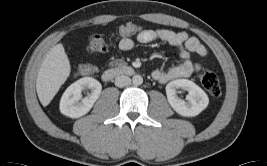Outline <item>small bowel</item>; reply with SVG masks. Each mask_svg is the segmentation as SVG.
<instances>
[{
	"label": "small bowel",
	"mask_w": 267,
	"mask_h": 166,
	"mask_svg": "<svg viewBox=\"0 0 267 166\" xmlns=\"http://www.w3.org/2000/svg\"><path fill=\"white\" fill-rule=\"evenodd\" d=\"M132 36L128 35L126 38L119 39L118 46L121 51L128 52L133 49L135 42ZM135 36L136 41L141 44L161 41L177 47L182 61L166 71L154 70L152 72L153 79L160 83H167L174 79L191 76L201 68V65L199 63H193L189 59L190 54H196L200 57H205L207 55L205 46L197 38L189 36L186 32H175L169 29H138Z\"/></svg>",
	"instance_id": "1"
}]
</instances>
